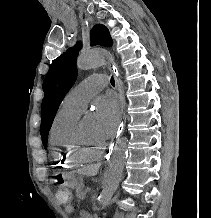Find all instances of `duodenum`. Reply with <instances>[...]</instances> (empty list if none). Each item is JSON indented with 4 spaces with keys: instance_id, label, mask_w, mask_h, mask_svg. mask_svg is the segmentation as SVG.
<instances>
[{
    "instance_id": "1",
    "label": "duodenum",
    "mask_w": 211,
    "mask_h": 218,
    "mask_svg": "<svg viewBox=\"0 0 211 218\" xmlns=\"http://www.w3.org/2000/svg\"><path fill=\"white\" fill-rule=\"evenodd\" d=\"M80 217L81 218H92V214L88 210H81Z\"/></svg>"
}]
</instances>
